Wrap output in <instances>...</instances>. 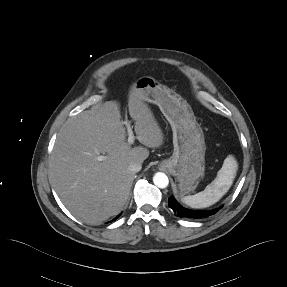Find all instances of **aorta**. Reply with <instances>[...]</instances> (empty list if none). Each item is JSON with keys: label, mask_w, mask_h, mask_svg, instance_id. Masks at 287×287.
Returning <instances> with one entry per match:
<instances>
[{"label": "aorta", "mask_w": 287, "mask_h": 287, "mask_svg": "<svg viewBox=\"0 0 287 287\" xmlns=\"http://www.w3.org/2000/svg\"><path fill=\"white\" fill-rule=\"evenodd\" d=\"M153 182L158 188H166L169 184V179L165 173L157 172L153 177Z\"/></svg>", "instance_id": "obj_1"}]
</instances>
